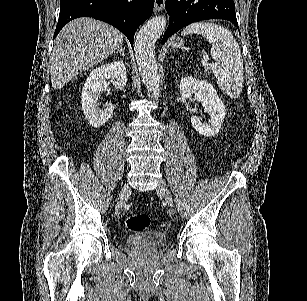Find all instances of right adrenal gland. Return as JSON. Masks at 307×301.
Segmentation results:
<instances>
[{"instance_id": "obj_1", "label": "right adrenal gland", "mask_w": 307, "mask_h": 301, "mask_svg": "<svg viewBox=\"0 0 307 301\" xmlns=\"http://www.w3.org/2000/svg\"><path fill=\"white\" fill-rule=\"evenodd\" d=\"M118 52H120L121 56H125V52H124L123 46H120L119 50H116V52H114V54H118Z\"/></svg>"}]
</instances>
